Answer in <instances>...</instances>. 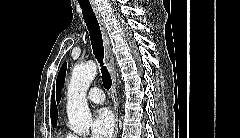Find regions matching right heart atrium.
Masks as SVG:
<instances>
[{"instance_id":"right-heart-atrium-1","label":"right heart atrium","mask_w":240,"mask_h":138,"mask_svg":"<svg viewBox=\"0 0 240 138\" xmlns=\"http://www.w3.org/2000/svg\"><path fill=\"white\" fill-rule=\"evenodd\" d=\"M71 138H81V137L73 135Z\"/></svg>"}]
</instances>
